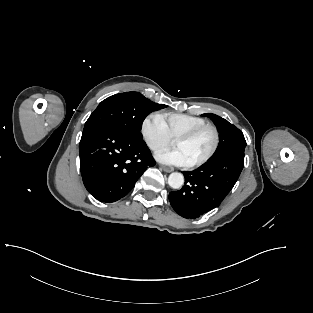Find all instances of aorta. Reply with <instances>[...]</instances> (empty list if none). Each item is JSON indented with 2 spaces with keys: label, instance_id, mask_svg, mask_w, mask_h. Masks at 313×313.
Instances as JSON below:
<instances>
[{
  "label": "aorta",
  "instance_id": "1",
  "mask_svg": "<svg viewBox=\"0 0 313 313\" xmlns=\"http://www.w3.org/2000/svg\"><path fill=\"white\" fill-rule=\"evenodd\" d=\"M168 184L173 189H180L184 184V176L181 173L174 172L168 177Z\"/></svg>",
  "mask_w": 313,
  "mask_h": 313
}]
</instances>
